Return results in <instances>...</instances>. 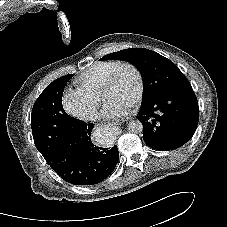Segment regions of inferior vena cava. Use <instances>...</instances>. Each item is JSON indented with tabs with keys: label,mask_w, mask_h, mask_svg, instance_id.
Wrapping results in <instances>:
<instances>
[{
	"label": "inferior vena cava",
	"mask_w": 227,
	"mask_h": 227,
	"mask_svg": "<svg viewBox=\"0 0 227 227\" xmlns=\"http://www.w3.org/2000/svg\"><path fill=\"white\" fill-rule=\"evenodd\" d=\"M84 119L90 120V121H96L97 119H99V114L97 111L91 110L85 114Z\"/></svg>",
	"instance_id": "1"
}]
</instances>
